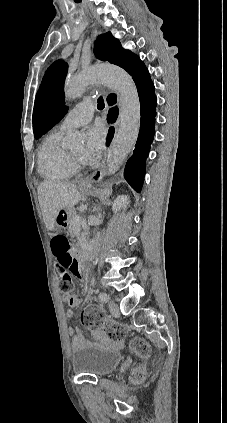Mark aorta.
Here are the masks:
<instances>
[{
    "mask_svg": "<svg viewBox=\"0 0 227 423\" xmlns=\"http://www.w3.org/2000/svg\"><path fill=\"white\" fill-rule=\"evenodd\" d=\"M96 82H103L119 95V128L105 164L107 174H113L118 171L137 141L141 120L140 100L131 76L115 66H95L78 75L67 77L64 87L66 99L74 100L80 97L89 85ZM83 140L84 136L80 132L73 131L68 136L67 143L69 146H78Z\"/></svg>",
    "mask_w": 227,
    "mask_h": 423,
    "instance_id": "obj_1",
    "label": "aorta"
}]
</instances>
